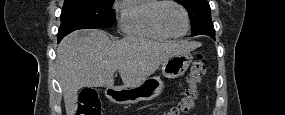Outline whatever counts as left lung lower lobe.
Wrapping results in <instances>:
<instances>
[{
	"label": "left lung lower lobe",
	"mask_w": 285,
	"mask_h": 115,
	"mask_svg": "<svg viewBox=\"0 0 285 115\" xmlns=\"http://www.w3.org/2000/svg\"><path fill=\"white\" fill-rule=\"evenodd\" d=\"M209 36L212 37L215 40V33H212Z\"/></svg>",
	"instance_id": "0a47b994"
}]
</instances>
